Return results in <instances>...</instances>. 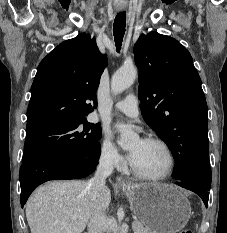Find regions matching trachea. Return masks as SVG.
Listing matches in <instances>:
<instances>
[{
    "instance_id": "trachea-1",
    "label": "trachea",
    "mask_w": 227,
    "mask_h": 233,
    "mask_svg": "<svg viewBox=\"0 0 227 233\" xmlns=\"http://www.w3.org/2000/svg\"><path fill=\"white\" fill-rule=\"evenodd\" d=\"M125 27H126V13L125 12L118 13L117 16L115 17L114 25H113L114 40H115L117 52H120L121 50L123 36L125 34Z\"/></svg>"
}]
</instances>
